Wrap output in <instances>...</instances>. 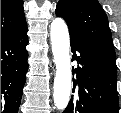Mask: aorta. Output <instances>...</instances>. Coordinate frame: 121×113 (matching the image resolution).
<instances>
[{
  "label": "aorta",
  "instance_id": "762f6f07",
  "mask_svg": "<svg viewBox=\"0 0 121 113\" xmlns=\"http://www.w3.org/2000/svg\"><path fill=\"white\" fill-rule=\"evenodd\" d=\"M50 37L52 53L56 65L54 79V104L59 110H64L69 102L71 91L70 40L65 21L55 18L51 23Z\"/></svg>",
  "mask_w": 121,
  "mask_h": 113
}]
</instances>
